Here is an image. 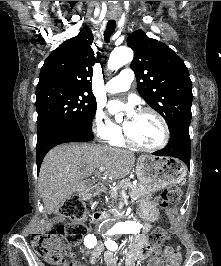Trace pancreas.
<instances>
[{
  "label": "pancreas",
  "instance_id": "1",
  "mask_svg": "<svg viewBox=\"0 0 221 266\" xmlns=\"http://www.w3.org/2000/svg\"><path fill=\"white\" fill-rule=\"evenodd\" d=\"M121 189H129V195L134 198H151L152 194L148 188L142 184L133 185L130 179H124L114 188L109 190V195L113 201L112 204H116L118 201H123V195Z\"/></svg>",
  "mask_w": 221,
  "mask_h": 266
}]
</instances>
